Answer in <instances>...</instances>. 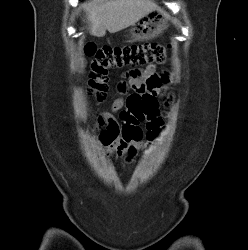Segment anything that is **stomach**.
Returning <instances> with one entry per match:
<instances>
[{
	"mask_svg": "<svg viewBox=\"0 0 248 250\" xmlns=\"http://www.w3.org/2000/svg\"><path fill=\"white\" fill-rule=\"evenodd\" d=\"M137 24L133 25V31L138 40H151L157 37L166 27L164 15L159 11H150L140 19Z\"/></svg>",
	"mask_w": 248,
	"mask_h": 250,
	"instance_id": "0dacf381",
	"label": "stomach"
}]
</instances>
